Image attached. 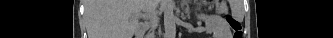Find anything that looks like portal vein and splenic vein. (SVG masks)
Returning a JSON list of instances; mask_svg holds the SVG:
<instances>
[{
	"mask_svg": "<svg viewBox=\"0 0 333 38\" xmlns=\"http://www.w3.org/2000/svg\"><path fill=\"white\" fill-rule=\"evenodd\" d=\"M139 16H140V17H143V18H147V17H146V16H144L143 14H140Z\"/></svg>",
	"mask_w": 333,
	"mask_h": 38,
	"instance_id": "portal-vein-and-splenic-vein-1",
	"label": "portal vein and splenic vein"
}]
</instances>
